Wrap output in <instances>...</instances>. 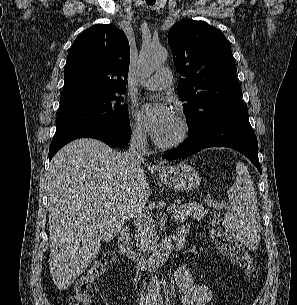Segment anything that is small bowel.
I'll return each mask as SVG.
<instances>
[{"label": "small bowel", "mask_w": 297, "mask_h": 305, "mask_svg": "<svg viewBox=\"0 0 297 305\" xmlns=\"http://www.w3.org/2000/svg\"><path fill=\"white\" fill-rule=\"evenodd\" d=\"M180 229L188 227L182 226ZM173 280L180 292L183 305H207L213 299L212 287L196 283L190 271L184 266L174 271Z\"/></svg>", "instance_id": "obj_1"}]
</instances>
